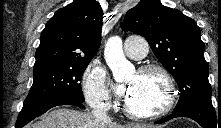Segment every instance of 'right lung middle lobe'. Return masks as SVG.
I'll use <instances>...</instances> for the list:
<instances>
[{"instance_id": "right-lung-middle-lobe-1", "label": "right lung middle lobe", "mask_w": 221, "mask_h": 128, "mask_svg": "<svg viewBox=\"0 0 221 128\" xmlns=\"http://www.w3.org/2000/svg\"><path fill=\"white\" fill-rule=\"evenodd\" d=\"M90 60H77L34 70L33 85L23 105H29L51 97L64 96L84 102L79 81Z\"/></svg>"}]
</instances>
